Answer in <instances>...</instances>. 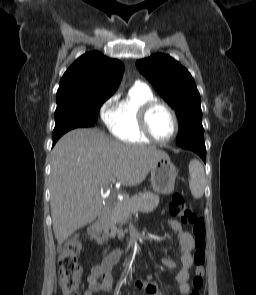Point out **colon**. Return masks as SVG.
I'll return each instance as SVG.
<instances>
[{"instance_id": "colon-1", "label": "colon", "mask_w": 256, "mask_h": 295, "mask_svg": "<svg viewBox=\"0 0 256 295\" xmlns=\"http://www.w3.org/2000/svg\"><path fill=\"white\" fill-rule=\"evenodd\" d=\"M169 212L190 225L193 236L192 262L194 265V277L192 290L189 295H201L204 286V267L206 262V227L202 217L191 211L184 201L181 193L173 194L168 206ZM82 250V242L73 237L66 241L60 249L58 258L60 287L63 295H79L81 282V267L78 263V255Z\"/></svg>"}]
</instances>
